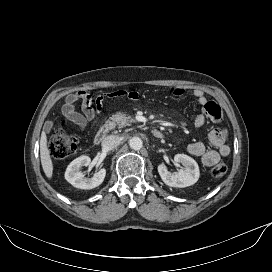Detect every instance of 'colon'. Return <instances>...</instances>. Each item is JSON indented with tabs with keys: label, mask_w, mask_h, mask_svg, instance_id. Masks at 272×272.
<instances>
[{
	"label": "colon",
	"mask_w": 272,
	"mask_h": 272,
	"mask_svg": "<svg viewBox=\"0 0 272 272\" xmlns=\"http://www.w3.org/2000/svg\"><path fill=\"white\" fill-rule=\"evenodd\" d=\"M49 151L55 159H64L73 155L77 148V138L59 129L52 133L49 139ZM211 175L215 178L222 177L227 172L225 163H217L211 168Z\"/></svg>",
	"instance_id": "5ec220e1"
}]
</instances>
